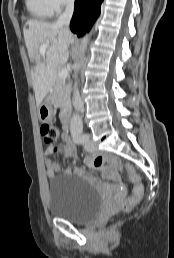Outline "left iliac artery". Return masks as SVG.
<instances>
[{"label":"left iliac artery","instance_id":"44dca946","mask_svg":"<svg viewBox=\"0 0 174 258\" xmlns=\"http://www.w3.org/2000/svg\"><path fill=\"white\" fill-rule=\"evenodd\" d=\"M72 137L74 142L77 144H84L86 141V135L82 133V127L73 130Z\"/></svg>","mask_w":174,"mask_h":258}]
</instances>
